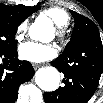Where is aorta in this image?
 Returning <instances> with one entry per match:
<instances>
[{
  "label": "aorta",
  "instance_id": "1",
  "mask_svg": "<svg viewBox=\"0 0 103 103\" xmlns=\"http://www.w3.org/2000/svg\"><path fill=\"white\" fill-rule=\"evenodd\" d=\"M33 25L40 27L41 22L37 19ZM35 82L44 91H55L60 82L59 72L54 67L40 68L35 74Z\"/></svg>",
  "mask_w": 103,
  "mask_h": 103
}]
</instances>
